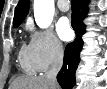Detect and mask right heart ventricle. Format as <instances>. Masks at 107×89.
I'll use <instances>...</instances> for the list:
<instances>
[{"mask_svg": "<svg viewBox=\"0 0 107 89\" xmlns=\"http://www.w3.org/2000/svg\"><path fill=\"white\" fill-rule=\"evenodd\" d=\"M19 63L21 68L28 74H35L37 71V66L35 64L32 51L29 45H23L19 51Z\"/></svg>", "mask_w": 107, "mask_h": 89, "instance_id": "1", "label": "right heart ventricle"}]
</instances>
